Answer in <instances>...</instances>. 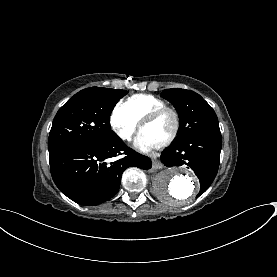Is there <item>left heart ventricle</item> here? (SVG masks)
<instances>
[{
    "mask_svg": "<svg viewBox=\"0 0 277 277\" xmlns=\"http://www.w3.org/2000/svg\"><path fill=\"white\" fill-rule=\"evenodd\" d=\"M174 126V120L171 114L165 113L160 118L145 126L144 131L151 139L161 143L169 136Z\"/></svg>",
    "mask_w": 277,
    "mask_h": 277,
    "instance_id": "obj_1",
    "label": "left heart ventricle"
}]
</instances>
